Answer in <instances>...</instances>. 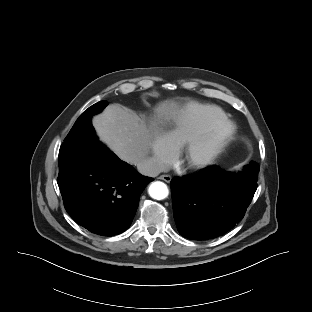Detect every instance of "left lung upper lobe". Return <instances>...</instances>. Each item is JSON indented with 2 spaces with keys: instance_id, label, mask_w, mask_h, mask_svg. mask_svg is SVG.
Here are the masks:
<instances>
[{
  "instance_id": "1",
  "label": "left lung upper lobe",
  "mask_w": 312,
  "mask_h": 312,
  "mask_svg": "<svg viewBox=\"0 0 312 312\" xmlns=\"http://www.w3.org/2000/svg\"><path fill=\"white\" fill-rule=\"evenodd\" d=\"M259 165L254 162V161H251L247 166H246V170L244 172H242L243 174H246V175H250L252 173V171L256 170V172H259Z\"/></svg>"
}]
</instances>
